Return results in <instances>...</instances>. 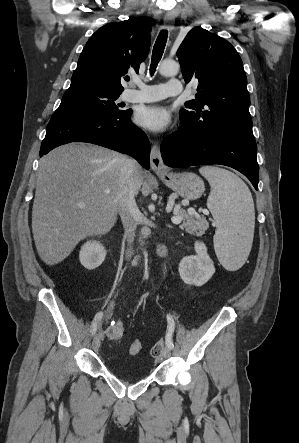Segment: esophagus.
I'll list each match as a JSON object with an SVG mask.
<instances>
[{
	"label": "esophagus",
	"instance_id": "obj_1",
	"mask_svg": "<svg viewBox=\"0 0 299 443\" xmlns=\"http://www.w3.org/2000/svg\"><path fill=\"white\" fill-rule=\"evenodd\" d=\"M174 14L171 12H168L164 17V27L168 30L173 29V21H174ZM150 164L151 168L155 173H163L167 171V168L163 162L160 147L157 143H154L151 148V154H150Z\"/></svg>",
	"mask_w": 299,
	"mask_h": 443
}]
</instances>
